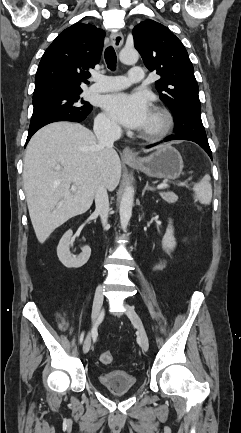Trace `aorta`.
<instances>
[{
	"label": "aorta",
	"instance_id": "aorta-1",
	"mask_svg": "<svg viewBox=\"0 0 241 433\" xmlns=\"http://www.w3.org/2000/svg\"><path fill=\"white\" fill-rule=\"evenodd\" d=\"M119 59L124 64H135L139 59L138 52L133 48H123L119 53ZM134 201V188L127 185L121 197L120 202V223L121 228L125 230L132 216V206Z\"/></svg>",
	"mask_w": 241,
	"mask_h": 433
}]
</instances>
